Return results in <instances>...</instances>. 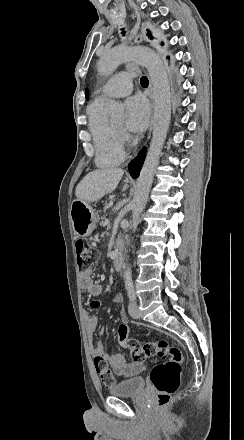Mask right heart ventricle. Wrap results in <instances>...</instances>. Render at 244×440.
I'll use <instances>...</instances> for the list:
<instances>
[{
    "mask_svg": "<svg viewBox=\"0 0 244 440\" xmlns=\"http://www.w3.org/2000/svg\"><path fill=\"white\" fill-rule=\"evenodd\" d=\"M104 101L97 98L87 106L88 127L95 142V162L100 168L118 166L125 158L122 144H114L116 131L108 127L102 120Z\"/></svg>",
    "mask_w": 244,
    "mask_h": 440,
    "instance_id": "e07e8e85",
    "label": "right heart ventricle"
}]
</instances>
